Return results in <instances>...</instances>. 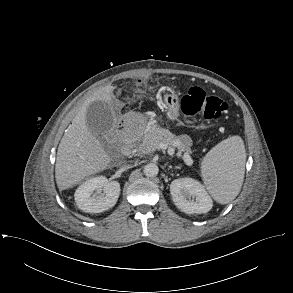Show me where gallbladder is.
Wrapping results in <instances>:
<instances>
[{"mask_svg": "<svg viewBox=\"0 0 293 293\" xmlns=\"http://www.w3.org/2000/svg\"><path fill=\"white\" fill-rule=\"evenodd\" d=\"M86 123L93 134L107 135L114 124L113 111L106 102H91L86 112Z\"/></svg>", "mask_w": 293, "mask_h": 293, "instance_id": "bac80fb5", "label": "gallbladder"}]
</instances>
